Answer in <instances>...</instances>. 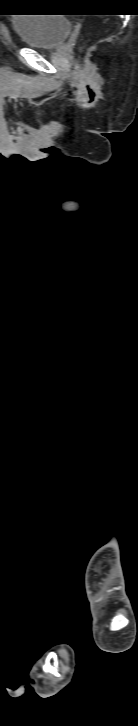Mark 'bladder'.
<instances>
[{"label":"bladder","instance_id":"1","mask_svg":"<svg viewBox=\"0 0 138 726\" xmlns=\"http://www.w3.org/2000/svg\"><path fill=\"white\" fill-rule=\"evenodd\" d=\"M12 25L24 46L38 49L60 46L72 30L71 21L61 14H20Z\"/></svg>","mask_w":138,"mask_h":726}]
</instances>
